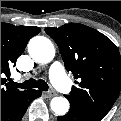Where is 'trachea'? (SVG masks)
<instances>
[{"label": "trachea", "mask_w": 121, "mask_h": 121, "mask_svg": "<svg viewBox=\"0 0 121 121\" xmlns=\"http://www.w3.org/2000/svg\"><path fill=\"white\" fill-rule=\"evenodd\" d=\"M10 86L15 88H22V89H31V88H37L42 91H48L49 87L48 84L44 80H35V79H29L25 81L24 83H17V82H10Z\"/></svg>", "instance_id": "trachea-1"}]
</instances>
